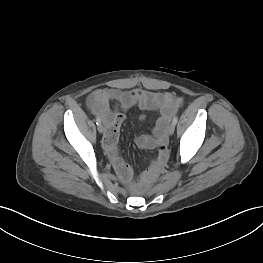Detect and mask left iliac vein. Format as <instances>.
<instances>
[{
  "instance_id": "1",
  "label": "left iliac vein",
  "mask_w": 263,
  "mask_h": 263,
  "mask_svg": "<svg viewBox=\"0 0 263 263\" xmlns=\"http://www.w3.org/2000/svg\"><path fill=\"white\" fill-rule=\"evenodd\" d=\"M174 130H175V124L172 123L168 127V134L172 135L174 133Z\"/></svg>"
}]
</instances>
